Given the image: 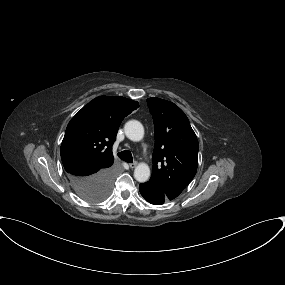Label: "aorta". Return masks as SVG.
Wrapping results in <instances>:
<instances>
[{"label":"aorta","mask_w":285,"mask_h":285,"mask_svg":"<svg viewBox=\"0 0 285 285\" xmlns=\"http://www.w3.org/2000/svg\"><path fill=\"white\" fill-rule=\"evenodd\" d=\"M128 139L134 142L141 141L144 137V127L137 120H130L124 126ZM134 177L138 182H146L150 178V168L146 163H139L134 170Z\"/></svg>","instance_id":"aorta-1"}]
</instances>
